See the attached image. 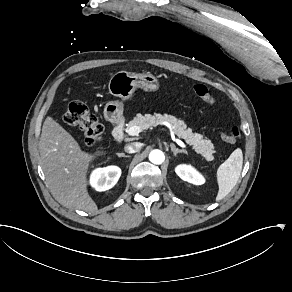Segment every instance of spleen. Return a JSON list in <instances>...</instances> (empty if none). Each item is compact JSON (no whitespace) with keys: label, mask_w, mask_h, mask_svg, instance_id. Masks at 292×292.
<instances>
[{"label":"spleen","mask_w":292,"mask_h":292,"mask_svg":"<svg viewBox=\"0 0 292 292\" xmlns=\"http://www.w3.org/2000/svg\"><path fill=\"white\" fill-rule=\"evenodd\" d=\"M243 153L240 148L232 152L229 158L219 166L217 170V181L219 191L216 200L223 199L236 185L242 170Z\"/></svg>","instance_id":"spleen-1"}]
</instances>
